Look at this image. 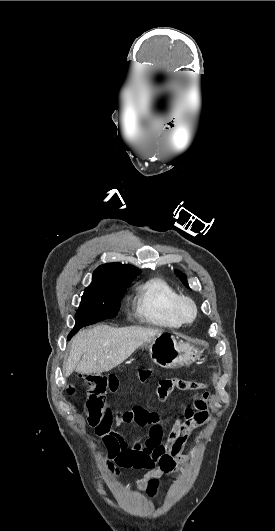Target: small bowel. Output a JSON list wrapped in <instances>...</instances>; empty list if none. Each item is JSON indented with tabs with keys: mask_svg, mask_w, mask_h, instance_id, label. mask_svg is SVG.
I'll return each instance as SVG.
<instances>
[{
	"mask_svg": "<svg viewBox=\"0 0 275 531\" xmlns=\"http://www.w3.org/2000/svg\"><path fill=\"white\" fill-rule=\"evenodd\" d=\"M138 374L137 377L130 375L128 380L130 382L137 380L138 382L147 383L152 371L150 368L145 367L139 369ZM107 381L111 390L117 392L120 390L123 380L120 375H110ZM109 395L111 396L112 394L110 393ZM211 400V396L208 393L195 397L192 407L187 406L184 408L183 416L175 419L169 431L166 428V420L157 412L135 407L122 413L115 419L116 427L134 425L148 429L149 438L143 440L136 433L130 448H128L124 434L110 427V422L99 427L98 434L107 449L113 446L125 449L123 461L127 467L146 471L145 476L132 485L135 490H141L149 481L150 472H157L160 477L164 473H172L176 469V462L182 463L189 459V454L183 451L185 441L193 429L210 421L209 403ZM105 406L111 407L112 401L106 400ZM117 413L118 410L115 407L105 409L106 415L115 416ZM165 436L166 441L160 443ZM155 438L159 439V443H153Z\"/></svg>",
	"mask_w": 275,
	"mask_h": 531,
	"instance_id": "1",
	"label": "small bowel"
}]
</instances>
